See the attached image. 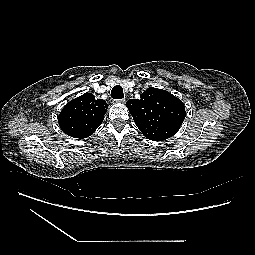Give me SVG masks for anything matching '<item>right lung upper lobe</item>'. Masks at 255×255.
Segmentation results:
<instances>
[{
  "mask_svg": "<svg viewBox=\"0 0 255 255\" xmlns=\"http://www.w3.org/2000/svg\"><path fill=\"white\" fill-rule=\"evenodd\" d=\"M107 103L85 93L67 103L59 115V126L67 135L74 138H87L103 122Z\"/></svg>",
  "mask_w": 255,
  "mask_h": 255,
  "instance_id": "1",
  "label": "right lung upper lobe"
}]
</instances>
